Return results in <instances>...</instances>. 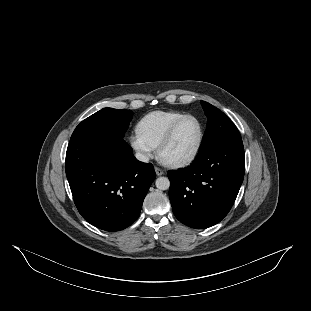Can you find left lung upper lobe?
Here are the masks:
<instances>
[{
	"label": "left lung upper lobe",
	"mask_w": 311,
	"mask_h": 311,
	"mask_svg": "<svg viewBox=\"0 0 311 311\" xmlns=\"http://www.w3.org/2000/svg\"><path fill=\"white\" fill-rule=\"evenodd\" d=\"M201 105L207 117V129L198 154L226 140L241 138L238 129L227 115L205 101H201Z\"/></svg>",
	"instance_id": "left-lung-upper-lobe-1"
}]
</instances>
